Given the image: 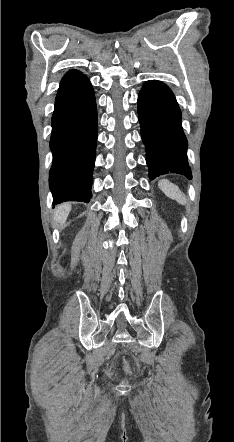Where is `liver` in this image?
Instances as JSON below:
<instances>
[{
    "label": "liver",
    "instance_id": "liver-1",
    "mask_svg": "<svg viewBox=\"0 0 234 442\" xmlns=\"http://www.w3.org/2000/svg\"><path fill=\"white\" fill-rule=\"evenodd\" d=\"M71 211V204L70 203H64L59 205L54 213V221L56 224H59L60 226L64 225L66 222V219Z\"/></svg>",
    "mask_w": 234,
    "mask_h": 442
}]
</instances>
